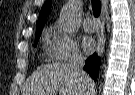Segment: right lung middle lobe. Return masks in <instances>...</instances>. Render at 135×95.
<instances>
[{
  "label": "right lung middle lobe",
  "mask_w": 135,
  "mask_h": 95,
  "mask_svg": "<svg viewBox=\"0 0 135 95\" xmlns=\"http://www.w3.org/2000/svg\"><path fill=\"white\" fill-rule=\"evenodd\" d=\"M40 35H41V32L36 33L34 46L37 45Z\"/></svg>",
  "instance_id": "1"
}]
</instances>
